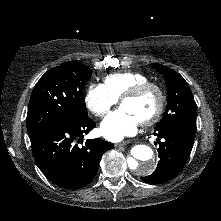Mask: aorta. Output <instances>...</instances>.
I'll return each mask as SVG.
<instances>
[{
	"mask_svg": "<svg viewBox=\"0 0 221 221\" xmlns=\"http://www.w3.org/2000/svg\"><path fill=\"white\" fill-rule=\"evenodd\" d=\"M130 170L137 175H148L156 168V158L153 150L145 145H135L127 159Z\"/></svg>",
	"mask_w": 221,
	"mask_h": 221,
	"instance_id": "obj_1",
	"label": "aorta"
}]
</instances>
